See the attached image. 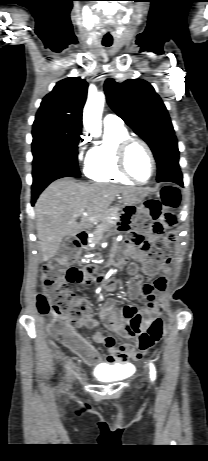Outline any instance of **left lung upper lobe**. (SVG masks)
Instances as JSON below:
<instances>
[{
	"instance_id": "left-lung-upper-lobe-1",
	"label": "left lung upper lobe",
	"mask_w": 208,
	"mask_h": 461,
	"mask_svg": "<svg viewBox=\"0 0 208 461\" xmlns=\"http://www.w3.org/2000/svg\"><path fill=\"white\" fill-rule=\"evenodd\" d=\"M109 106L150 146L157 161V181L179 168V151L167 109L154 88L142 79L104 84Z\"/></svg>"
}]
</instances>
